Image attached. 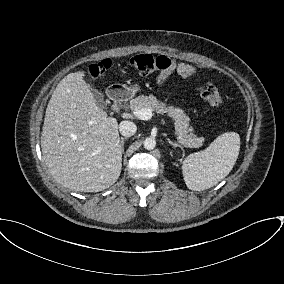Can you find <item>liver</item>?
I'll list each match as a JSON object with an SVG mask.
<instances>
[{
	"instance_id": "liver-1",
	"label": "liver",
	"mask_w": 284,
	"mask_h": 284,
	"mask_svg": "<svg viewBox=\"0 0 284 284\" xmlns=\"http://www.w3.org/2000/svg\"><path fill=\"white\" fill-rule=\"evenodd\" d=\"M84 72L65 76L48 103L41 133L43 159L53 178L76 192L112 186L122 167L118 122L98 107Z\"/></svg>"
}]
</instances>
